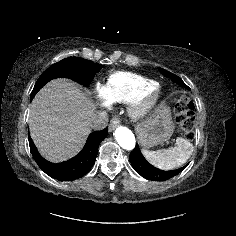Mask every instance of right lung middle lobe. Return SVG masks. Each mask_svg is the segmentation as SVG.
<instances>
[{"instance_id":"dd1d6c3e","label":"right lung middle lobe","mask_w":236,"mask_h":236,"mask_svg":"<svg viewBox=\"0 0 236 236\" xmlns=\"http://www.w3.org/2000/svg\"><path fill=\"white\" fill-rule=\"evenodd\" d=\"M102 68L101 64L79 57H68L45 70L37 80L32 92L31 100L37 92L50 80L55 78H69L83 86H89L94 75Z\"/></svg>"}]
</instances>
